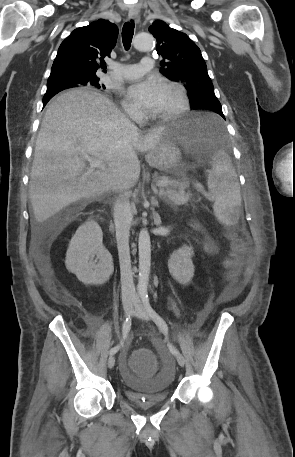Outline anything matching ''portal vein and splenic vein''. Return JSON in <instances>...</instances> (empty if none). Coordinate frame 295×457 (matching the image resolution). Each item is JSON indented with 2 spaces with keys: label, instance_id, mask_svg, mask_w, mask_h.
<instances>
[{
  "label": "portal vein and splenic vein",
  "instance_id": "1",
  "mask_svg": "<svg viewBox=\"0 0 295 457\" xmlns=\"http://www.w3.org/2000/svg\"><path fill=\"white\" fill-rule=\"evenodd\" d=\"M85 159L90 163V166L92 168H100L102 170H105V164L102 160H99V159H94V158H91L87 155H85ZM177 184H180L179 181L176 182ZM172 184V181L171 180H168V179H164V180H161L159 182H157L156 186H168V185H171Z\"/></svg>",
  "mask_w": 295,
  "mask_h": 457
}]
</instances>
